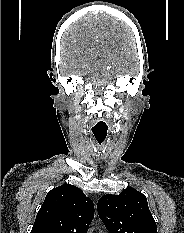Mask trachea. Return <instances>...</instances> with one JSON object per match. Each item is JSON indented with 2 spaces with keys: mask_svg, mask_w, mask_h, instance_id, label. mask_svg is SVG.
I'll list each match as a JSON object with an SVG mask.
<instances>
[{
  "mask_svg": "<svg viewBox=\"0 0 184 233\" xmlns=\"http://www.w3.org/2000/svg\"><path fill=\"white\" fill-rule=\"evenodd\" d=\"M92 135L94 137L96 146L99 151L102 150L105 139L107 137V129L102 125H98L92 129Z\"/></svg>",
  "mask_w": 184,
  "mask_h": 233,
  "instance_id": "obj_1",
  "label": "trachea"
}]
</instances>
